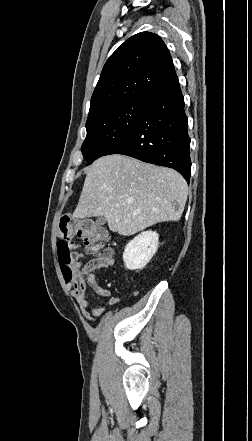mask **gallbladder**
I'll return each instance as SVG.
<instances>
[{"instance_id":"1","label":"gallbladder","mask_w":252,"mask_h":441,"mask_svg":"<svg viewBox=\"0 0 252 441\" xmlns=\"http://www.w3.org/2000/svg\"><path fill=\"white\" fill-rule=\"evenodd\" d=\"M105 223H106V219L103 216L98 217L96 220L97 225H103Z\"/></svg>"}]
</instances>
